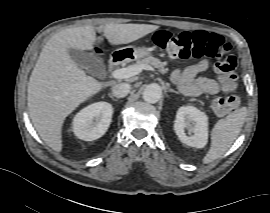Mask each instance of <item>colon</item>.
Instances as JSON below:
<instances>
[{
  "label": "colon",
  "mask_w": 270,
  "mask_h": 213,
  "mask_svg": "<svg viewBox=\"0 0 270 213\" xmlns=\"http://www.w3.org/2000/svg\"><path fill=\"white\" fill-rule=\"evenodd\" d=\"M153 42L159 49L181 59L213 58L217 62L214 70L221 76L225 94L212 101L216 115L235 109L240 99L237 95L236 59L231 54V45L217 33L205 31L171 33L160 30L154 35Z\"/></svg>",
  "instance_id": "obj_1"
}]
</instances>
